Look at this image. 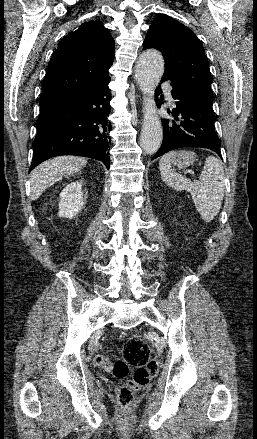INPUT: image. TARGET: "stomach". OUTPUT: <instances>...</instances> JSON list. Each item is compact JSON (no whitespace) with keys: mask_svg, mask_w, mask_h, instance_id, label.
<instances>
[{"mask_svg":"<svg viewBox=\"0 0 257 439\" xmlns=\"http://www.w3.org/2000/svg\"><path fill=\"white\" fill-rule=\"evenodd\" d=\"M195 160L194 153L190 151H179L172 158V163L178 168H186Z\"/></svg>","mask_w":257,"mask_h":439,"instance_id":"1","label":"stomach"}]
</instances>
